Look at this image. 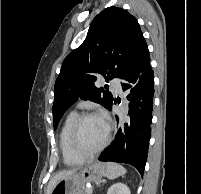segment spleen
I'll return each instance as SVG.
<instances>
[{
    "mask_svg": "<svg viewBox=\"0 0 201 194\" xmlns=\"http://www.w3.org/2000/svg\"><path fill=\"white\" fill-rule=\"evenodd\" d=\"M126 173V169L116 163H107L106 165V174L105 176L109 179H116L120 176H123Z\"/></svg>",
    "mask_w": 201,
    "mask_h": 194,
    "instance_id": "spleen-1",
    "label": "spleen"
}]
</instances>
